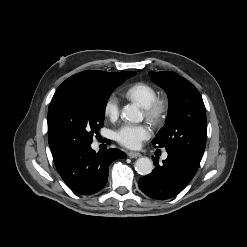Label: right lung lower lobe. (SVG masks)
<instances>
[{
  "mask_svg": "<svg viewBox=\"0 0 247 247\" xmlns=\"http://www.w3.org/2000/svg\"><path fill=\"white\" fill-rule=\"evenodd\" d=\"M117 158H126L118 149L96 153L91 145L78 146L54 159L57 171L65 183L79 194L99 191L107 182L110 163Z\"/></svg>",
  "mask_w": 247,
  "mask_h": 247,
  "instance_id": "1",
  "label": "right lung lower lobe"
}]
</instances>
